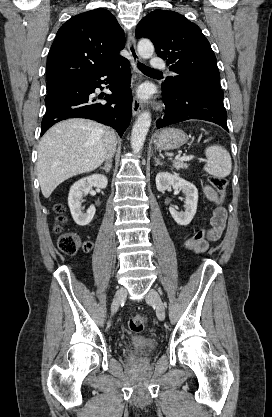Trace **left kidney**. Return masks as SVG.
Masks as SVG:
<instances>
[{"mask_svg": "<svg viewBox=\"0 0 272 417\" xmlns=\"http://www.w3.org/2000/svg\"><path fill=\"white\" fill-rule=\"evenodd\" d=\"M156 187L160 192H164L169 187L183 192L185 195V211L178 212L173 207H170L169 211L177 224L188 225L197 210L198 190L195 185L184 180L177 174L173 175L168 172H160L156 176Z\"/></svg>", "mask_w": 272, "mask_h": 417, "instance_id": "5707ae66", "label": "left kidney"}]
</instances>
